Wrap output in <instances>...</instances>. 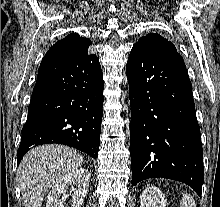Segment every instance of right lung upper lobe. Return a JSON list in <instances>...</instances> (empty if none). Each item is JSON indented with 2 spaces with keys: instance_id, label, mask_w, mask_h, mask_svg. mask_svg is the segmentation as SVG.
<instances>
[{
  "instance_id": "1",
  "label": "right lung upper lobe",
  "mask_w": 220,
  "mask_h": 207,
  "mask_svg": "<svg viewBox=\"0 0 220 207\" xmlns=\"http://www.w3.org/2000/svg\"><path fill=\"white\" fill-rule=\"evenodd\" d=\"M90 44V39L71 33L57 41L45 54L41 63L59 62L85 56L88 54Z\"/></svg>"
}]
</instances>
